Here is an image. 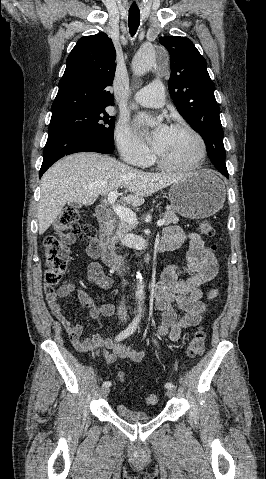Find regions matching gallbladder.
I'll list each match as a JSON object with an SVG mask.
<instances>
[{
  "label": "gallbladder",
  "instance_id": "obj_1",
  "mask_svg": "<svg viewBox=\"0 0 266 479\" xmlns=\"http://www.w3.org/2000/svg\"><path fill=\"white\" fill-rule=\"evenodd\" d=\"M69 205L73 206V207H80V204L79 203H75V202H70L68 203Z\"/></svg>",
  "mask_w": 266,
  "mask_h": 479
}]
</instances>
